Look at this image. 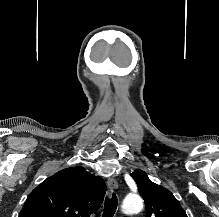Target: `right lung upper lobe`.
Wrapping results in <instances>:
<instances>
[{"mask_svg": "<svg viewBox=\"0 0 219 217\" xmlns=\"http://www.w3.org/2000/svg\"><path fill=\"white\" fill-rule=\"evenodd\" d=\"M106 184L81 166L47 178L27 198L19 217H89L105 195Z\"/></svg>", "mask_w": 219, "mask_h": 217, "instance_id": "cb5924a9", "label": "right lung upper lobe"}]
</instances>
